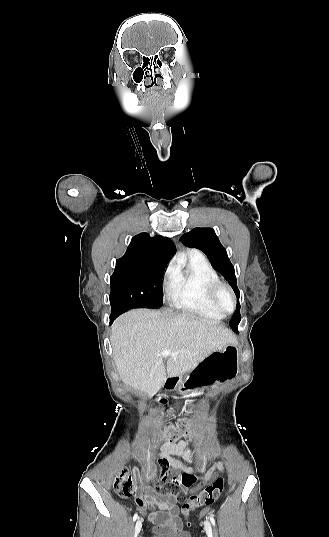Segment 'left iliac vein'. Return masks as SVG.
<instances>
[{
	"instance_id": "1",
	"label": "left iliac vein",
	"mask_w": 329,
	"mask_h": 537,
	"mask_svg": "<svg viewBox=\"0 0 329 537\" xmlns=\"http://www.w3.org/2000/svg\"><path fill=\"white\" fill-rule=\"evenodd\" d=\"M204 529H205V532H206L208 537H213V532H212V529H211V525H210L209 521H207V520L204 522Z\"/></svg>"
}]
</instances>
